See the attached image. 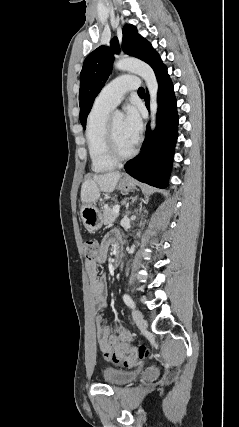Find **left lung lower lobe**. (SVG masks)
Instances as JSON below:
<instances>
[{
    "instance_id": "obj_1",
    "label": "left lung lower lobe",
    "mask_w": 239,
    "mask_h": 427,
    "mask_svg": "<svg viewBox=\"0 0 239 427\" xmlns=\"http://www.w3.org/2000/svg\"><path fill=\"white\" fill-rule=\"evenodd\" d=\"M155 74L159 85L157 127L151 132L148 124L142 150L137 157L126 163L125 170L141 182L166 188L177 140L178 114L173 84L166 66L161 64ZM145 102L149 109L148 92Z\"/></svg>"
}]
</instances>
